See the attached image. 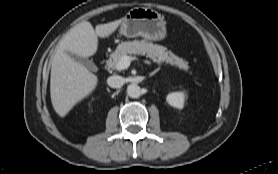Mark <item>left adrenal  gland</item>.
Here are the masks:
<instances>
[{
    "label": "left adrenal gland",
    "instance_id": "left-adrenal-gland-1",
    "mask_svg": "<svg viewBox=\"0 0 278 174\" xmlns=\"http://www.w3.org/2000/svg\"><path fill=\"white\" fill-rule=\"evenodd\" d=\"M160 70V68L155 69L152 73L149 74V76H153L155 75L158 71Z\"/></svg>",
    "mask_w": 278,
    "mask_h": 174
}]
</instances>
